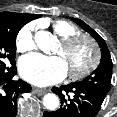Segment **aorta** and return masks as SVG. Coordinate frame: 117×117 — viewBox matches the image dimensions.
Returning <instances> with one entry per match:
<instances>
[{
  "label": "aorta",
  "instance_id": "aorta-1",
  "mask_svg": "<svg viewBox=\"0 0 117 117\" xmlns=\"http://www.w3.org/2000/svg\"><path fill=\"white\" fill-rule=\"evenodd\" d=\"M40 50L50 53L55 46L54 36L47 31H38L34 36ZM43 105L48 110H55L59 105V98L54 93H48L43 97Z\"/></svg>",
  "mask_w": 117,
  "mask_h": 117
}]
</instances>
